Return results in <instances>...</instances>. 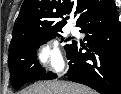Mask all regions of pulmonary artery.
<instances>
[{
  "mask_svg": "<svg viewBox=\"0 0 121 94\" xmlns=\"http://www.w3.org/2000/svg\"><path fill=\"white\" fill-rule=\"evenodd\" d=\"M70 31H71V33L72 34H78V28L77 27H75L74 25H72L71 27H70Z\"/></svg>",
  "mask_w": 121,
  "mask_h": 94,
  "instance_id": "pulmonary-artery-1",
  "label": "pulmonary artery"
}]
</instances>
